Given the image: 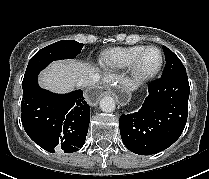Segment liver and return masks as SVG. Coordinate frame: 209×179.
<instances>
[{"instance_id": "obj_1", "label": "liver", "mask_w": 209, "mask_h": 179, "mask_svg": "<svg viewBox=\"0 0 209 179\" xmlns=\"http://www.w3.org/2000/svg\"><path fill=\"white\" fill-rule=\"evenodd\" d=\"M94 73L95 68L88 63L73 60L55 61L41 72L39 82L46 89L63 93L77 86L81 78ZM114 80L115 76L113 75H107L102 79L106 84ZM121 83L128 85V81L125 79H121Z\"/></svg>"}]
</instances>
